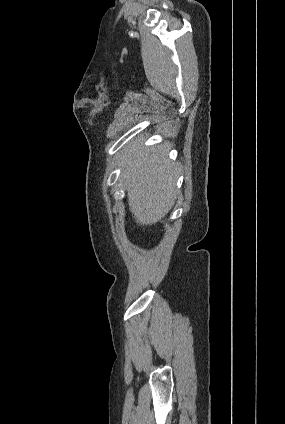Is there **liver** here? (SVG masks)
<instances>
[{"label": "liver", "instance_id": "obj_1", "mask_svg": "<svg viewBox=\"0 0 285 424\" xmlns=\"http://www.w3.org/2000/svg\"><path fill=\"white\" fill-rule=\"evenodd\" d=\"M170 144L140 148V141L122 150L121 181L127 191L131 213L140 225L162 219L176 200V165L168 158Z\"/></svg>", "mask_w": 285, "mask_h": 424}]
</instances>
